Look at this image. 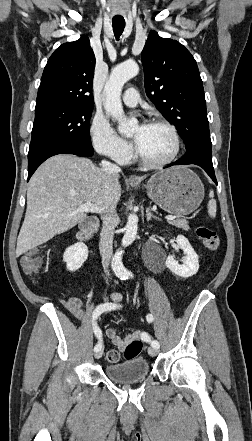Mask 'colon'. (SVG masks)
<instances>
[{
    "mask_svg": "<svg viewBox=\"0 0 252 441\" xmlns=\"http://www.w3.org/2000/svg\"><path fill=\"white\" fill-rule=\"evenodd\" d=\"M196 235L202 244L209 251H216L220 246V240L217 233L210 227L199 226L196 229ZM41 255L37 249L30 250L21 258V266L24 272L28 275H38L41 268ZM142 350V342L140 340H134L129 343L123 352L126 359L136 357ZM106 359L110 363H118L121 359V353L112 349L107 352Z\"/></svg>",
    "mask_w": 252,
    "mask_h": 441,
    "instance_id": "obj_1",
    "label": "colon"
}]
</instances>
